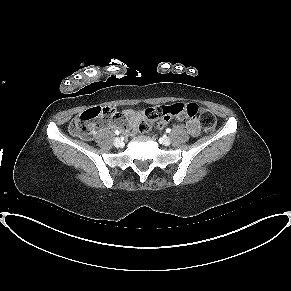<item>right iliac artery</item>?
<instances>
[{
    "label": "right iliac artery",
    "instance_id": "82829eb1",
    "mask_svg": "<svg viewBox=\"0 0 291 291\" xmlns=\"http://www.w3.org/2000/svg\"><path fill=\"white\" fill-rule=\"evenodd\" d=\"M115 134H117V135H118V134H119V131H118V130H116V131H115Z\"/></svg>",
    "mask_w": 291,
    "mask_h": 291
}]
</instances>
